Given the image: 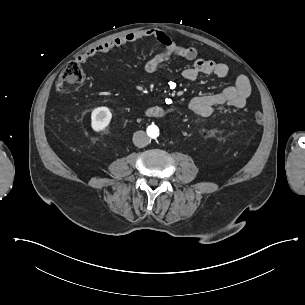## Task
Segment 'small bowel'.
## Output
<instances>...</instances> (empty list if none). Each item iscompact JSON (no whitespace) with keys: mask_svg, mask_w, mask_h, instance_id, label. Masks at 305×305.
Returning a JSON list of instances; mask_svg holds the SVG:
<instances>
[{"mask_svg":"<svg viewBox=\"0 0 305 305\" xmlns=\"http://www.w3.org/2000/svg\"><path fill=\"white\" fill-rule=\"evenodd\" d=\"M154 38L162 46L163 50L156 53L146 61L144 71L147 74L154 73L161 65L174 57H180L192 62V65L182 73L186 81H195L199 75H215L218 78H225L229 74L226 64L201 57L194 47L177 44L166 32L162 30H140L126 33L111 40H106L92 48L78 53L77 58L81 62L90 61L96 56L107 53L115 48L124 45ZM251 94V85L248 78L238 75L234 85L224 88L222 91L195 96L188 102L190 112L198 117H208L215 109L219 108H243ZM169 111H174L172 102L166 103Z\"/></svg>","mask_w":305,"mask_h":305,"instance_id":"c3829d8e","label":"small bowel"}]
</instances>
